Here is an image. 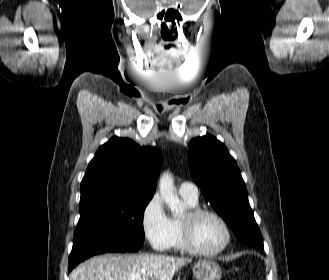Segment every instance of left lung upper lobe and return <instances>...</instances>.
I'll use <instances>...</instances> for the list:
<instances>
[{"label": "left lung upper lobe", "instance_id": "1", "mask_svg": "<svg viewBox=\"0 0 329 280\" xmlns=\"http://www.w3.org/2000/svg\"><path fill=\"white\" fill-rule=\"evenodd\" d=\"M188 163L203 196L247 245L263 248L247 189L234 158L214 136L194 138L189 144Z\"/></svg>", "mask_w": 329, "mask_h": 280}]
</instances>
